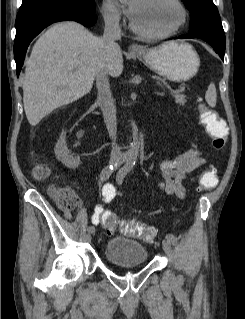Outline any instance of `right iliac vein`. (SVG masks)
Instances as JSON below:
<instances>
[{"label": "right iliac vein", "mask_w": 245, "mask_h": 319, "mask_svg": "<svg viewBox=\"0 0 245 319\" xmlns=\"http://www.w3.org/2000/svg\"><path fill=\"white\" fill-rule=\"evenodd\" d=\"M86 239H87L88 241L91 240V234H90V232H89V234L86 235Z\"/></svg>", "instance_id": "63e3f726"}]
</instances>
